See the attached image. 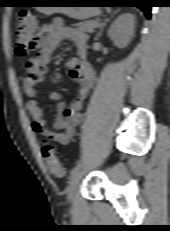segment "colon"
<instances>
[{
	"instance_id": "1",
	"label": "colon",
	"mask_w": 170,
	"mask_h": 231,
	"mask_svg": "<svg viewBox=\"0 0 170 231\" xmlns=\"http://www.w3.org/2000/svg\"><path fill=\"white\" fill-rule=\"evenodd\" d=\"M15 29L17 36L15 52L18 57H24L36 48L38 42L37 22L29 10H21L18 13ZM41 154L52 175L58 178L65 176V169L47 139L42 141Z\"/></svg>"
}]
</instances>
